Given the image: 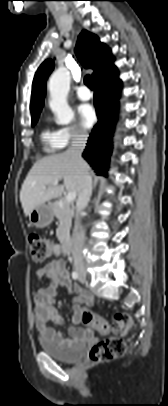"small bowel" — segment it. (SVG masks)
Wrapping results in <instances>:
<instances>
[{
  "label": "small bowel",
  "mask_w": 168,
  "mask_h": 406,
  "mask_svg": "<svg viewBox=\"0 0 168 406\" xmlns=\"http://www.w3.org/2000/svg\"><path fill=\"white\" fill-rule=\"evenodd\" d=\"M55 252L57 255L59 254L58 247L55 248ZM36 277L39 280L44 277L50 280L47 287L35 291L33 298L35 324L40 335L50 342L62 346H70L74 340L90 335L91 330L89 328L71 326L69 333L72 339H66L60 332L51 327V324L60 325L63 323L62 315L55 305L58 288L64 287L68 292L77 293V297L73 300L74 315L72 321L74 324L82 320V313L85 312L83 305L86 307L94 305V297L91 293L74 286L70 282L66 263L62 259L56 258L38 269Z\"/></svg>",
  "instance_id": "1"
}]
</instances>
